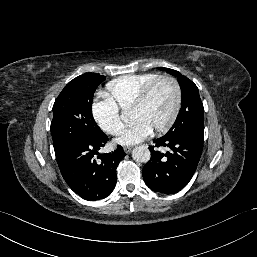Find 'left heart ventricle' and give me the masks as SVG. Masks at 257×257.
I'll return each instance as SVG.
<instances>
[{
    "label": "left heart ventricle",
    "mask_w": 257,
    "mask_h": 257,
    "mask_svg": "<svg viewBox=\"0 0 257 257\" xmlns=\"http://www.w3.org/2000/svg\"><path fill=\"white\" fill-rule=\"evenodd\" d=\"M175 103V91L170 82H162L140 109L131 111L133 122L142 120L152 130L162 126L169 119Z\"/></svg>",
    "instance_id": "obj_1"
}]
</instances>
